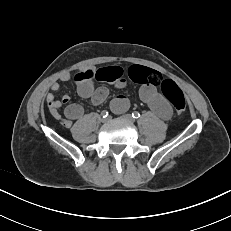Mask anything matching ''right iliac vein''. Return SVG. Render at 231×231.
Instances as JSON below:
<instances>
[{"mask_svg": "<svg viewBox=\"0 0 231 231\" xmlns=\"http://www.w3.org/2000/svg\"><path fill=\"white\" fill-rule=\"evenodd\" d=\"M107 120H108V119H104V118H103V119H101V121H102V122H106Z\"/></svg>", "mask_w": 231, "mask_h": 231, "instance_id": "63e3f726", "label": "right iliac vein"}]
</instances>
